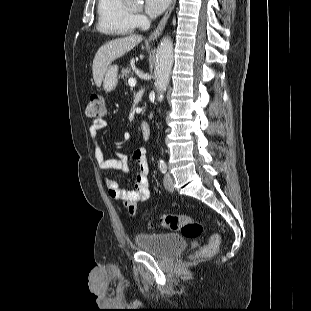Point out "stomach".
I'll return each instance as SVG.
<instances>
[{"label": "stomach", "mask_w": 311, "mask_h": 311, "mask_svg": "<svg viewBox=\"0 0 311 311\" xmlns=\"http://www.w3.org/2000/svg\"><path fill=\"white\" fill-rule=\"evenodd\" d=\"M117 73H118L117 65L109 66L107 71L105 72L103 77V89L106 92H111L116 88L118 83Z\"/></svg>", "instance_id": "stomach-1"}]
</instances>
